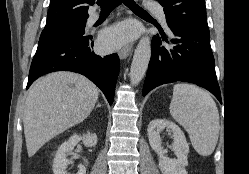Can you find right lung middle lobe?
<instances>
[{
  "instance_id": "obj_1",
  "label": "right lung middle lobe",
  "mask_w": 249,
  "mask_h": 174,
  "mask_svg": "<svg viewBox=\"0 0 249 174\" xmlns=\"http://www.w3.org/2000/svg\"><path fill=\"white\" fill-rule=\"evenodd\" d=\"M86 20H72L45 27L38 46L48 44L64 36L84 35Z\"/></svg>"
}]
</instances>
